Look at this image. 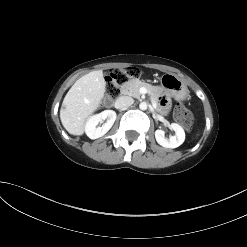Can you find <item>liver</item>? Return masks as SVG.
Returning a JSON list of instances; mask_svg holds the SVG:
<instances>
[{"label": "liver", "mask_w": 247, "mask_h": 247, "mask_svg": "<svg viewBox=\"0 0 247 247\" xmlns=\"http://www.w3.org/2000/svg\"><path fill=\"white\" fill-rule=\"evenodd\" d=\"M106 90L103 71H92L79 78L66 94L60 119L72 135H82L85 123L100 107Z\"/></svg>", "instance_id": "liver-1"}]
</instances>
